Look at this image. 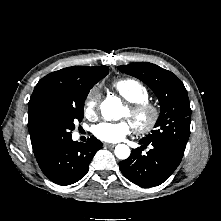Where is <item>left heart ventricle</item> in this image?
<instances>
[{"instance_id":"1","label":"left heart ventricle","mask_w":221,"mask_h":221,"mask_svg":"<svg viewBox=\"0 0 221 221\" xmlns=\"http://www.w3.org/2000/svg\"><path fill=\"white\" fill-rule=\"evenodd\" d=\"M124 115H128V112H127V110H124Z\"/></svg>"}]
</instances>
